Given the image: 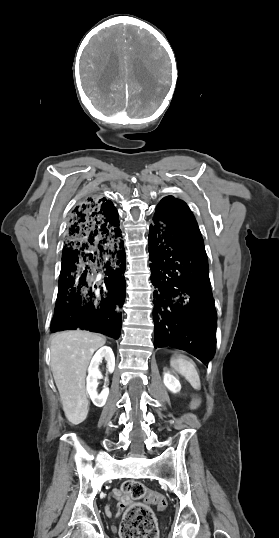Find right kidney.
<instances>
[{
    "label": "right kidney",
    "mask_w": 279,
    "mask_h": 538,
    "mask_svg": "<svg viewBox=\"0 0 279 538\" xmlns=\"http://www.w3.org/2000/svg\"><path fill=\"white\" fill-rule=\"evenodd\" d=\"M103 358L107 362V368H108L107 372H109V374H112V372H114V368H115L114 354L111 348H109V346H103V348H100V350L96 352L95 356H93L91 360V364L88 368V376H87V392L93 404H95V406H98V408H102V406H105L106 400L109 394V388H106V386H104L101 394H98L97 392V386H98L97 380H101L102 378V374L101 372H99V366Z\"/></svg>",
    "instance_id": "obj_1"
}]
</instances>
